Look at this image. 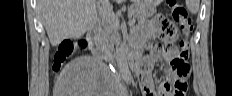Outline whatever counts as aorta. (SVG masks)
Returning a JSON list of instances; mask_svg holds the SVG:
<instances>
[{"label":"aorta","mask_w":232,"mask_h":96,"mask_svg":"<svg viewBox=\"0 0 232 96\" xmlns=\"http://www.w3.org/2000/svg\"><path fill=\"white\" fill-rule=\"evenodd\" d=\"M117 63L121 72H123L124 74L129 73L128 64L124 55V51L122 49H119L117 51Z\"/></svg>","instance_id":"762f6f07"}]
</instances>
